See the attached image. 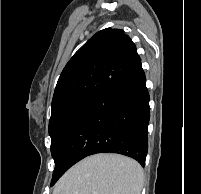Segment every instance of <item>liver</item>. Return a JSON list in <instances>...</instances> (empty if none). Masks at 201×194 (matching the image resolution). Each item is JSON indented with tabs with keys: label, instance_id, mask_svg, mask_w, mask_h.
Here are the masks:
<instances>
[{
	"label": "liver",
	"instance_id": "obj_1",
	"mask_svg": "<svg viewBox=\"0 0 201 194\" xmlns=\"http://www.w3.org/2000/svg\"><path fill=\"white\" fill-rule=\"evenodd\" d=\"M143 181L137 161L119 154H96L71 167L53 194H140Z\"/></svg>",
	"mask_w": 201,
	"mask_h": 194
}]
</instances>
